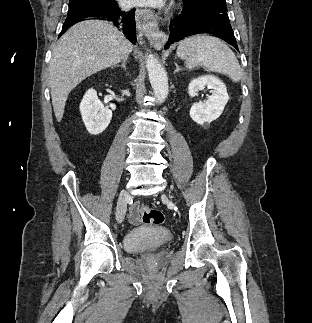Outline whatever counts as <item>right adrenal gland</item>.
I'll return each instance as SVG.
<instances>
[{"mask_svg":"<svg viewBox=\"0 0 312 323\" xmlns=\"http://www.w3.org/2000/svg\"><path fill=\"white\" fill-rule=\"evenodd\" d=\"M128 58H125V60H123L120 68H124V70H126V62H127ZM117 68H119V66H117Z\"/></svg>","mask_w":312,"mask_h":323,"instance_id":"obj_1","label":"right adrenal gland"}]
</instances>
